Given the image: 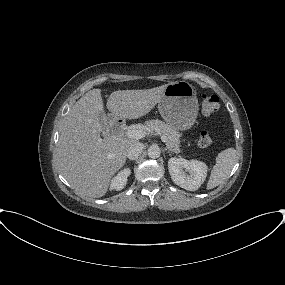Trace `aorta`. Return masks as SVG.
Segmentation results:
<instances>
[{
    "label": "aorta",
    "instance_id": "obj_1",
    "mask_svg": "<svg viewBox=\"0 0 285 285\" xmlns=\"http://www.w3.org/2000/svg\"><path fill=\"white\" fill-rule=\"evenodd\" d=\"M147 154L149 158L156 159L160 156L161 150L158 146L152 145L148 148Z\"/></svg>",
    "mask_w": 285,
    "mask_h": 285
}]
</instances>
